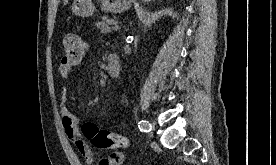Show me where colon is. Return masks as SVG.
<instances>
[{"mask_svg":"<svg viewBox=\"0 0 276 165\" xmlns=\"http://www.w3.org/2000/svg\"><path fill=\"white\" fill-rule=\"evenodd\" d=\"M63 46L62 64L71 67L80 64L85 55L83 40L77 34L69 33L63 39ZM82 132L96 148L122 150L128 145V140L125 136L102 130L92 122L85 123L82 127Z\"/></svg>","mask_w":276,"mask_h":165,"instance_id":"obj_1","label":"colon"}]
</instances>
